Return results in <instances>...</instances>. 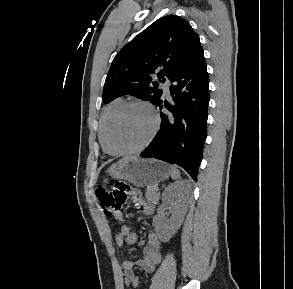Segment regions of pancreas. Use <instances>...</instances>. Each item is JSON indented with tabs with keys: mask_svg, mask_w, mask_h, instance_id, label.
<instances>
[{
	"mask_svg": "<svg viewBox=\"0 0 293 289\" xmlns=\"http://www.w3.org/2000/svg\"><path fill=\"white\" fill-rule=\"evenodd\" d=\"M145 196L149 202L157 203L159 201L158 187L156 185L147 186Z\"/></svg>",
	"mask_w": 293,
	"mask_h": 289,
	"instance_id": "cf45deb5",
	"label": "pancreas"
}]
</instances>
